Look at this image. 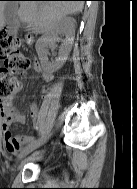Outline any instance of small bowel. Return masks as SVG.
Returning a JSON list of instances; mask_svg holds the SVG:
<instances>
[{
	"label": "small bowel",
	"mask_w": 137,
	"mask_h": 189,
	"mask_svg": "<svg viewBox=\"0 0 137 189\" xmlns=\"http://www.w3.org/2000/svg\"><path fill=\"white\" fill-rule=\"evenodd\" d=\"M35 70L41 75L43 81L52 80L53 75L45 71L39 64H36ZM38 115V106L33 104L30 108V116L36 129L39 127ZM0 119L7 152L13 155L21 153L29 145L32 137L21 134L13 136L11 128L13 124L25 123V115L11 107L9 102H3L0 103Z\"/></svg>",
	"instance_id": "small-bowel-1"
}]
</instances>
